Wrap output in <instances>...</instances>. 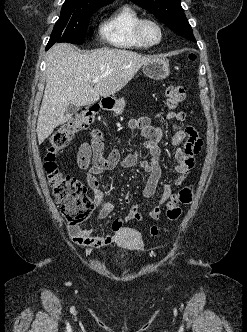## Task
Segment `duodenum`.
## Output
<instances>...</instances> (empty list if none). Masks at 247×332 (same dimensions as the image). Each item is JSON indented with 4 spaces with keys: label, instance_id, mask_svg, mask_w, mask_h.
<instances>
[{
    "label": "duodenum",
    "instance_id": "1",
    "mask_svg": "<svg viewBox=\"0 0 247 332\" xmlns=\"http://www.w3.org/2000/svg\"><path fill=\"white\" fill-rule=\"evenodd\" d=\"M110 106H111V101L108 100V99H103V100H101V102H100V104H99V107H100V109H102V110H106V109H108Z\"/></svg>",
    "mask_w": 247,
    "mask_h": 332
}]
</instances>
